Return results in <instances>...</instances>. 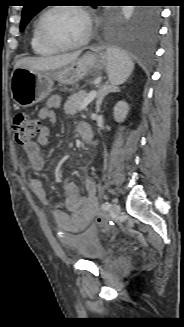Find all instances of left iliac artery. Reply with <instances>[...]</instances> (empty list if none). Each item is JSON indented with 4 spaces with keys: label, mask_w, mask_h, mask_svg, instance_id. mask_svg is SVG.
<instances>
[{
    "label": "left iliac artery",
    "mask_w": 184,
    "mask_h": 327,
    "mask_svg": "<svg viewBox=\"0 0 184 327\" xmlns=\"http://www.w3.org/2000/svg\"><path fill=\"white\" fill-rule=\"evenodd\" d=\"M110 207H111V205L109 202H105L102 204V209H104V210H108V209H110Z\"/></svg>",
    "instance_id": "44dca946"
}]
</instances>
